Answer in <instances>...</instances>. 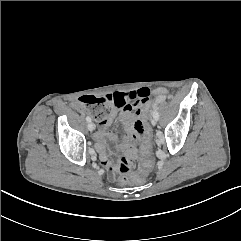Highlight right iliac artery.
<instances>
[{
    "mask_svg": "<svg viewBox=\"0 0 241 241\" xmlns=\"http://www.w3.org/2000/svg\"><path fill=\"white\" fill-rule=\"evenodd\" d=\"M87 122H91V118L89 116L86 117Z\"/></svg>",
    "mask_w": 241,
    "mask_h": 241,
    "instance_id": "82829eb1",
    "label": "right iliac artery"
}]
</instances>
